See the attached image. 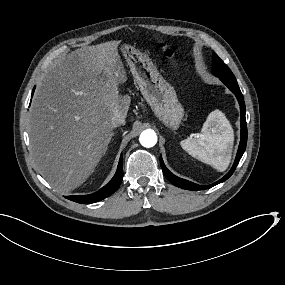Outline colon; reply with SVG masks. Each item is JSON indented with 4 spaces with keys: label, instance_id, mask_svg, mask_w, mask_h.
<instances>
[{
    "label": "colon",
    "instance_id": "5ec220e1",
    "mask_svg": "<svg viewBox=\"0 0 285 285\" xmlns=\"http://www.w3.org/2000/svg\"><path fill=\"white\" fill-rule=\"evenodd\" d=\"M159 50L166 58H172L175 55L174 50L165 43L159 44Z\"/></svg>",
    "mask_w": 285,
    "mask_h": 285
}]
</instances>
